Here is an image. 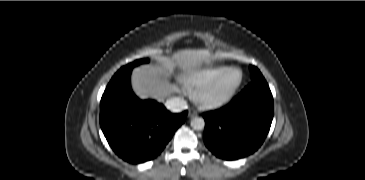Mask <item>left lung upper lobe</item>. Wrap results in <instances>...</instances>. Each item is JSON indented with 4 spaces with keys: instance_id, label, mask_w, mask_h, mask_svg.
I'll return each instance as SVG.
<instances>
[{
    "instance_id": "1",
    "label": "left lung upper lobe",
    "mask_w": 365,
    "mask_h": 180,
    "mask_svg": "<svg viewBox=\"0 0 365 180\" xmlns=\"http://www.w3.org/2000/svg\"><path fill=\"white\" fill-rule=\"evenodd\" d=\"M250 72H251L252 81L263 78L261 72L255 66H252V65L250 66Z\"/></svg>"
}]
</instances>
